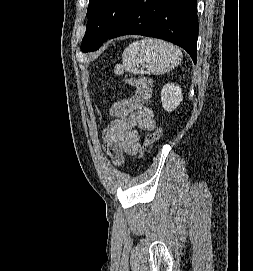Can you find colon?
<instances>
[{"label":"colon","instance_id":"colon-1","mask_svg":"<svg viewBox=\"0 0 253 271\" xmlns=\"http://www.w3.org/2000/svg\"><path fill=\"white\" fill-rule=\"evenodd\" d=\"M134 83L143 89H151L152 84L149 80L147 79H137L134 81ZM161 136V128L158 127L152 132H150L145 139V150L143 155H146L154 146L155 144L159 141Z\"/></svg>","mask_w":253,"mask_h":271}]
</instances>
